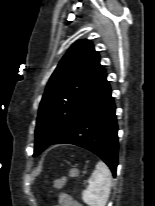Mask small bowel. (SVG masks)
Returning <instances> with one entry per match:
<instances>
[{"label": "small bowel", "instance_id": "obj_1", "mask_svg": "<svg viewBox=\"0 0 155 206\" xmlns=\"http://www.w3.org/2000/svg\"><path fill=\"white\" fill-rule=\"evenodd\" d=\"M76 201H74L70 196L66 194L60 195V205L59 206H75Z\"/></svg>", "mask_w": 155, "mask_h": 206}]
</instances>
